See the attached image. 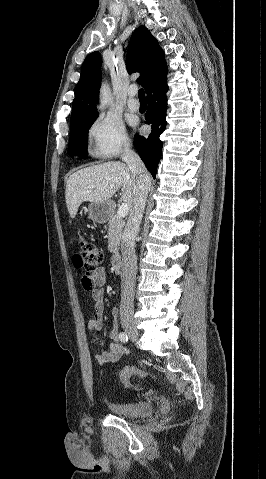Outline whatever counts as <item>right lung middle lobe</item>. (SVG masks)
I'll use <instances>...</instances> for the list:
<instances>
[{
	"label": "right lung middle lobe",
	"mask_w": 266,
	"mask_h": 479,
	"mask_svg": "<svg viewBox=\"0 0 266 479\" xmlns=\"http://www.w3.org/2000/svg\"><path fill=\"white\" fill-rule=\"evenodd\" d=\"M98 115L83 118L71 123L68 151L71 157L86 158L88 130Z\"/></svg>",
	"instance_id": "1"
}]
</instances>
